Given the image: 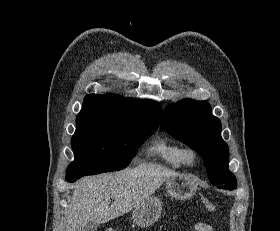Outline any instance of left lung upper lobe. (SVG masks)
Instances as JSON below:
<instances>
[{
    "label": "left lung upper lobe",
    "mask_w": 280,
    "mask_h": 231,
    "mask_svg": "<svg viewBox=\"0 0 280 231\" xmlns=\"http://www.w3.org/2000/svg\"><path fill=\"white\" fill-rule=\"evenodd\" d=\"M160 130H166L202 156L213 185H237L228 168L229 148L221 137V122L212 115L208 102L183 99L168 106Z\"/></svg>",
    "instance_id": "1"
}]
</instances>
